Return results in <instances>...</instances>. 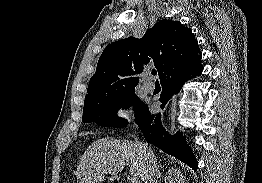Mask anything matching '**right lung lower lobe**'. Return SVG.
<instances>
[{"mask_svg":"<svg viewBox=\"0 0 262 183\" xmlns=\"http://www.w3.org/2000/svg\"><path fill=\"white\" fill-rule=\"evenodd\" d=\"M202 70L203 66L200 63L189 70L169 76L161 81L162 92L159 99V101L162 102L161 108L165 106L174 94H177L181 90L183 84L187 80L192 79L196 74H201ZM160 121L161 113L155 115L151 114L147 105H145L135 118V122L138 124L148 143H151L165 153L176 157L196 171L198 168V162L196 161L190 147L185 142L182 134L179 133L175 136H171L163 128Z\"/></svg>","mask_w":262,"mask_h":183,"instance_id":"right-lung-lower-lobe-1","label":"right lung lower lobe"}]
</instances>
